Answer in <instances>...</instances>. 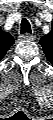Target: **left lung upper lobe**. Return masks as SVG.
<instances>
[{"label": "left lung upper lobe", "mask_w": 53, "mask_h": 120, "mask_svg": "<svg viewBox=\"0 0 53 120\" xmlns=\"http://www.w3.org/2000/svg\"><path fill=\"white\" fill-rule=\"evenodd\" d=\"M40 45L44 49V53L49 61L53 60V32L45 35L40 40Z\"/></svg>", "instance_id": "5c2ea615"}]
</instances>
